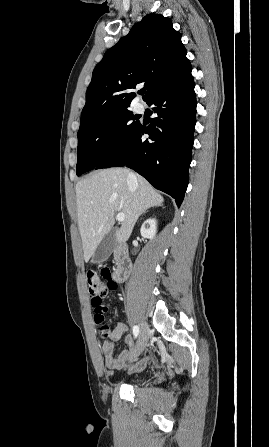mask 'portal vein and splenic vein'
<instances>
[{
    "instance_id": "1",
    "label": "portal vein and splenic vein",
    "mask_w": 269,
    "mask_h": 447,
    "mask_svg": "<svg viewBox=\"0 0 269 447\" xmlns=\"http://www.w3.org/2000/svg\"><path fill=\"white\" fill-rule=\"evenodd\" d=\"M116 218H117L118 222H124L125 214H122V212H119V214H117Z\"/></svg>"
}]
</instances>
